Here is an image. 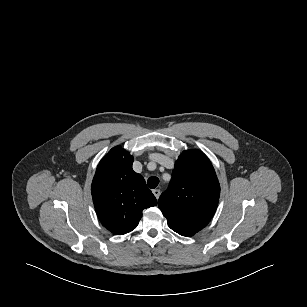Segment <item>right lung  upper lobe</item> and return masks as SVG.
<instances>
[{"label": "right lung upper lobe", "instance_id": "1", "mask_svg": "<svg viewBox=\"0 0 307 307\" xmlns=\"http://www.w3.org/2000/svg\"><path fill=\"white\" fill-rule=\"evenodd\" d=\"M133 157L112 148L100 161L92 182V197L101 223L116 235L135 229L142 211L157 205L142 175L132 169Z\"/></svg>", "mask_w": 307, "mask_h": 307}]
</instances>
